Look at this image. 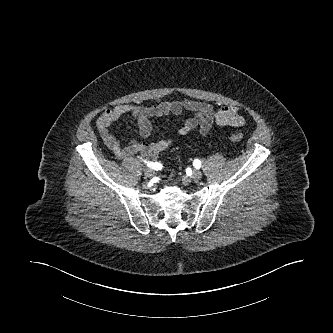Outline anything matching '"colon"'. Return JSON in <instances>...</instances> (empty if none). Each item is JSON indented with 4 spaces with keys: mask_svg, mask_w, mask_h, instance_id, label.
<instances>
[{
    "mask_svg": "<svg viewBox=\"0 0 333 333\" xmlns=\"http://www.w3.org/2000/svg\"><path fill=\"white\" fill-rule=\"evenodd\" d=\"M242 138H243L242 135L238 132L231 133L229 136V139L235 143L240 142L242 140Z\"/></svg>",
    "mask_w": 333,
    "mask_h": 333,
    "instance_id": "obj_1",
    "label": "colon"
}]
</instances>
